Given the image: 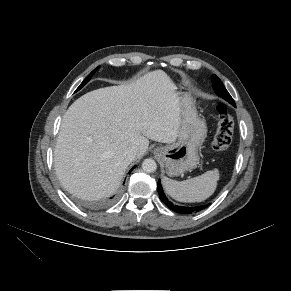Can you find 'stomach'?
Returning <instances> with one entry per match:
<instances>
[{
	"label": "stomach",
	"mask_w": 291,
	"mask_h": 291,
	"mask_svg": "<svg viewBox=\"0 0 291 291\" xmlns=\"http://www.w3.org/2000/svg\"><path fill=\"white\" fill-rule=\"evenodd\" d=\"M181 98L179 136L172 145L158 147L154 154L165 163L166 173L173 177L195 168L198 151L207 136V126L198 116L194 100L183 86L177 87Z\"/></svg>",
	"instance_id": "obj_1"
}]
</instances>
